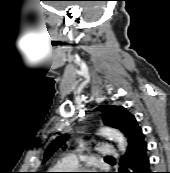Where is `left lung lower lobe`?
<instances>
[{
  "label": "left lung lower lobe",
  "mask_w": 170,
  "mask_h": 173,
  "mask_svg": "<svg viewBox=\"0 0 170 173\" xmlns=\"http://www.w3.org/2000/svg\"><path fill=\"white\" fill-rule=\"evenodd\" d=\"M149 165L147 144L142 141L132 149L127 150L122 159L119 173H151Z\"/></svg>",
  "instance_id": "1"
}]
</instances>
